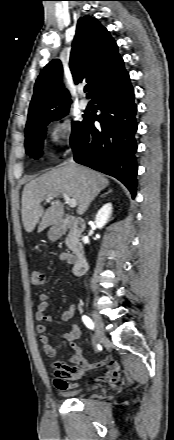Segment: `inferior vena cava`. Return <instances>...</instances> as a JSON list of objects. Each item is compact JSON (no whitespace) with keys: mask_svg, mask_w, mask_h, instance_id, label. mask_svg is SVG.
Masks as SVG:
<instances>
[{"mask_svg":"<svg viewBox=\"0 0 174 440\" xmlns=\"http://www.w3.org/2000/svg\"><path fill=\"white\" fill-rule=\"evenodd\" d=\"M69 162H70V163H73V158H72V157L69 159Z\"/></svg>","mask_w":174,"mask_h":440,"instance_id":"1","label":"inferior vena cava"}]
</instances>
